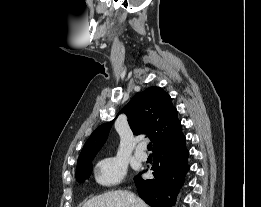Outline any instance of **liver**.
<instances>
[{"mask_svg": "<svg viewBox=\"0 0 261 207\" xmlns=\"http://www.w3.org/2000/svg\"><path fill=\"white\" fill-rule=\"evenodd\" d=\"M130 197L134 199L137 207H149L142 199L136 197L134 194L120 190L95 196L88 200L83 207H132L133 201Z\"/></svg>", "mask_w": 261, "mask_h": 207, "instance_id": "obj_1", "label": "liver"}]
</instances>
